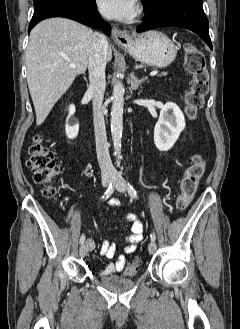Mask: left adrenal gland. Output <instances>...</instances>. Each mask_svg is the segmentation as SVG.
<instances>
[{"mask_svg": "<svg viewBox=\"0 0 240 329\" xmlns=\"http://www.w3.org/2000/svg\"><path fill=\"white\" fill-rule=\"evenodd\" d=\"M130 78H131V88L132 90H137L139 85L146 80V77L138 79L134 73L130 74Z\"/></svg>", "mask_w": 240, "mask_h": 329, "instance_id": "1", "label": "left adrenal gland"}]
</instances>
